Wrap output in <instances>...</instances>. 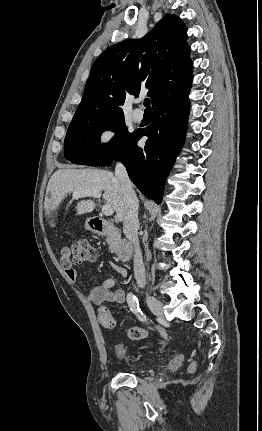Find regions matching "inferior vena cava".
<instances>
[{"label":"inferior vena cava","instance_id":"inferior-vena-cava-1","mask_svg":"<svg viewBox=\"0 0 262 431\" xmlns=\"http://www.w3.org/2000/svg\"><path fill=\"white\" fill-rule=\"evenodd\" d=\"M115 176L120 183L125 197L123 232L126 238L134 246V276L137 281V284L140 287H143L146 284V273L137 234L139 229L138 199L133 190V186L128 176L127 170L122 163H117L115 167Z\"/></svg>","mask_w":262,"mask_h":431}]
</instances>
